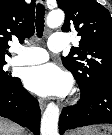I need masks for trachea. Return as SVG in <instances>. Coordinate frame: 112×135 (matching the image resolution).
I'll list each match as a JSON object with an SVG mask.
<instances>
[{"label": "trachea", "mask_w": 112, "mask_h": 135, "mask_svg": "<svg viewBox=\"0 0 112 135\" xmlns=\"http://www.w3.org/2000/svg\"><path fill=\"white\" fill-rule=\"evenodd\" d=\"M44 18H45V7L43 4L38 3L36 8V20H35L38 38H41L43 36L44 22H45Z\"/></svg>", "instance_id": "3493384b"}]
</instances>
